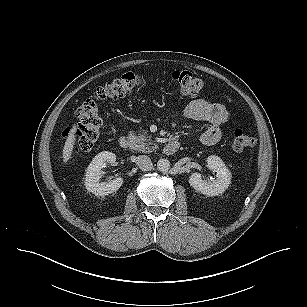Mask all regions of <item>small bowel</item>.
<instances>
[{"label": "small bowel", "instance_id": "obj_1", "mask_svg": "<svg viewBox=\"0 0 307 307\" xmlns=\"http://www.w3.org/2000/svg\"><path fill=\"white\" fill-rule=\"evenodd\" d=\"M186 117L206 122V128L200 134V141L205 145H213L221 140V126L229 121V112L219 103L206 99H196L185 107Z\"/></svg>", "mask_w": 307, "mask_h": 307}]
</instances>
